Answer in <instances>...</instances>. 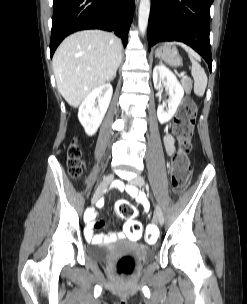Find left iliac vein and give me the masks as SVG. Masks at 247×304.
<instances>
[{"label": "left iliac vein", "instance_id": "4c4485c4", "mask_svg": "<svg viewBox=\"0 0 247 304\" xmlns=\"http://www.w3.org/2000/svg\"><path fill=\"white\" fill-rule=\"evenodd\" d=\"M130 184L136 185V186H143L144 185V179L142 176L137 175L136 177L129 180ZM154 219L156 222H158L160 225H163L164 223V215L161 207L157 204L155 207V213H154Z\"/></svg>", "mask_w": 247, "mask_h": 304}]
</instances>
